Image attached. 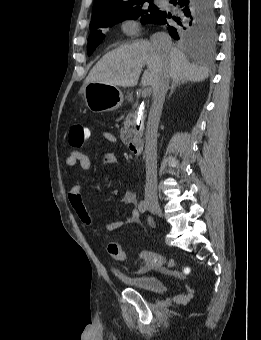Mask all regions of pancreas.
I'll return each mask as SVG.
<instances>
[{
    "mask_svg": "<svg viewBox=\"0 0 261 340\" xmlns=\"http://www.w3.org/2000/svg\"><path fill=\"white\" fill-rule=\"evenodd\" d=\"M137 112H129L124 120V127L121 129L120 138L123 143L141 133L136 129Z\"/></svg>",
    "mask_w": 261,
    "mask_h": 340,
    "instance_id": "pancreas-1",
    "label": "pancreas"
}]
</instances>
